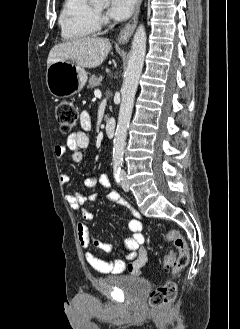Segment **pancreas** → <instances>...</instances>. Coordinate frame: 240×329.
<instances>
[{"mask_svg": "<svg viewBox=\"0 0 240 329\" xmlns=\"http://www.w3.org/2000/svg\"><path fill=\"white\" fill-rule=\"evenodd\" d=\"M103 79L102 75H92L88 82V88L98 87Z\"/></svg>", "mask_w": 240, "mask_h": 329, "instance_id": "cf45deb5", "label": "pancreas"}]
</instances>
